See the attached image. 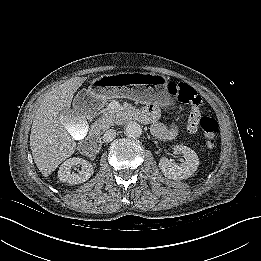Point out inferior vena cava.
Instances as JSON below:
<instances>
[{
    "instance_id": "1",
    "label": "inferior vena cava",
    "mask_w": 261,
    "mask_h": 261,
    "mask_svg": "<svg viewBox=\"0 0 261 261\" xmlns=\"http://www.w3.org/2000/svg\"><path fill=\"white\" fill-rule=\"evenodd\" d=\"M116 137V131L114 129L107 130L104 135L102 136V139L104 142H111Z\"/></svg>"
}]
</instances>
